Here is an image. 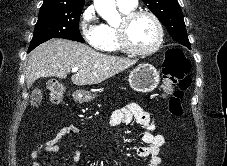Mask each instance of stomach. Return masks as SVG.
<instances>
[{
  "label": "stomach",
  "instance_id": "0dacf381",
  "mask_svg": "<svg viewBox=\"0 0 227 166\" xmlns=\"http://www.w3.org/2000/svg\"><path fill=\"white\" fill-rule=\"evenodd\" d=\"M159 81V72L148 63L137 66L129 75V84L137 92H151L157 87ZM74 98L79 102H86L92 100L94 96L87 91L78 90L74 93Z\"/></svg>",
  "mask_w": 227,
  "mask_h": 166
}]
</instances>
